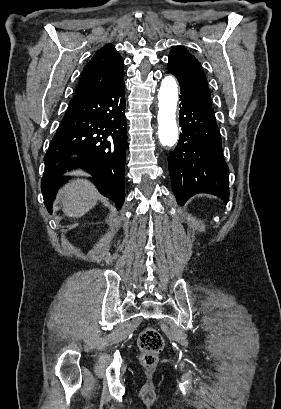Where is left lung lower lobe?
Masks as SVG:
<instances>
[{"label":"left lung lower lobe","instance_id":"1","mask_svg":"<svg viewBox=\"0 0 281 409\" xmlns=\"http://www.w3.org/2000/svg\"><path fill=\"white\" fill-rule=\"evenodd\" d=\"M181 87L179 142L169 154L168 165L174 194L180 205L197 193L229 200L228 166L211 102Z\"/></svg>","mask_w":281,"mask_h":409}]
</instances>
